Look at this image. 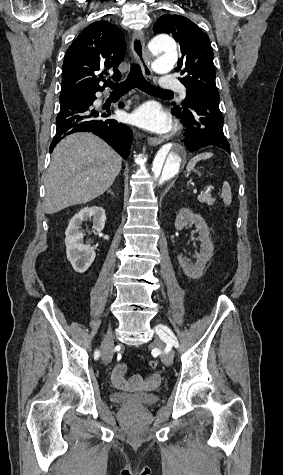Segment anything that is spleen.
<instances>
[{
  "label": "spleen",
  "mask_w": 283,
  "mask_h": 475,
  "mask_svg": "<svg viewBox=\"0 0 283 475\" xmlns=\"http://www.w3.org/2000/svg\"><path fill=\"white\" fill-rule=\"evenodd\" d=\"M212 156L213 154H211V152H204V154H198V156H195V158H191L186 168L187 172H191V170L195 168L197 162H200V160H209V158H212ZM221 198L226 206H230L232 202V194L228 182H223Z\"/></svg>",
  "instance_id": "1"
}]
</instances>
